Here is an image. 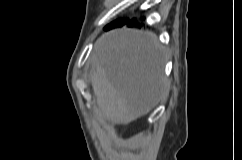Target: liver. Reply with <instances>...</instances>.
I'll return each instance as SVG.
<instances>
[{
  "label": "liver",
  "mask_w": 242,
  "mask_h": 160,
  "mask_svg": "<svg viewBox=\"0 0 242 160\" xmlns=\"http://www.w3.org/2000/svg\"><path fill=\"white\" fill-rule=\"evenodd\" d=\"M165 52L151 32L116 29L92 53L91 85L100 112L128 124L149 113L167 91Z\"/></svg>",
  "instance_id": "6515ba94"
}]
</instances>
